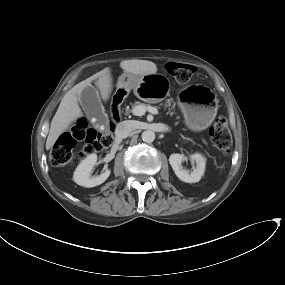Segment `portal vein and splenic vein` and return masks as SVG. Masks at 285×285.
Listing matches in <instances>:
<instances>
[{"instance_id": "1", "label": "portal vein and splenic vein", "mask_w": 285, "mask_h": 285, "mask_svg": "<svg viewBox=\"0 0 285 285\" xmlns=\"http://www.w3.org/2000/svg\"><path fill=\"white\" fill-rule=\"evenodd\" d=\"M146 111L150 112L151 114H158V110L155 107L152 106H144V105H138L133 109V114L136 116H142L146 113Z\"/></svg>"}]
</instances>
